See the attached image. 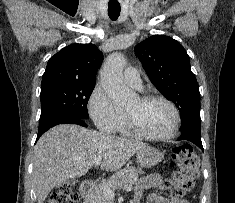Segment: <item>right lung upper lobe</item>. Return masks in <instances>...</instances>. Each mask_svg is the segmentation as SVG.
Returning <instances> with one entry per match:
<instances>
[{"mask_svg":"<svg viewBox=\"0 0 235 203\" xmlns=\"http://www.w3.org/2000/svg\"><path fill=\"white\" fill-rule=\"evenodd\" d=\"M102 52L93 44H72L52 56L42 77V86L60 82L95 83Z\"/></svg>","mask_w":235,"mask_h":203,"instance_id":"right-lung-upper-lobe-1","label":"right lung upper lobe"}]
</instances>
